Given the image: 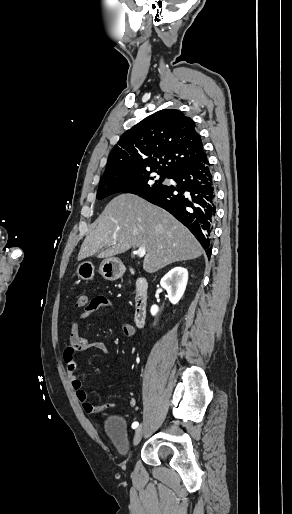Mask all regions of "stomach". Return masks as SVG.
<instances>
[{"instance_id":"1","label":"stomach","mask_w":292,"mask_h":514,"mask_svg":"<svg viewBox=\"0 0 292 514\" xmlns=\"http://www.w3.org/2000/svg\"><path fill=\"white\" fill-rule=\"evenodd\" d=\"M99 272L105 280L114 282V280L122 278L125 268L118 258H107V260L101 262ZM76 274L81 280H93L94 266L92 262H81V264H78Z\"/></svg>"}]
</instances>
